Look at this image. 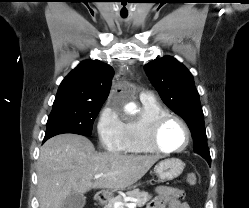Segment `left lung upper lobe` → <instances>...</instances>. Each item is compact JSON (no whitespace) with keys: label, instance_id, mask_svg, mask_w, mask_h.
Here are the masks:
<instances>
[{"label":"left lung upper lobe","instance_id":"left-lung-upper-lobe-1","mask_svg":"<svg viewBox=\"0 0 249 208\" xmlns=\"http://www.w3.org/2000/svg\"><path fill=\"white\" fill-rule=\"evenodd\" d=\"M144 69L163 102L187 123L192 132L194 152L211 163L204 115L192 74L170 56L156 58Z\"/></svg>","mask_w":249,"mask_h":208}]
</instances>
